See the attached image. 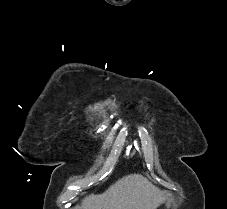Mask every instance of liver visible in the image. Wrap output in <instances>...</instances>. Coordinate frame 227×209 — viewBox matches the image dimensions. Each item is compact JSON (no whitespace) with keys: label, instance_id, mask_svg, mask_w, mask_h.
Wrapping results in <instances>:
<instances>
[{"label":"liver","instance_id":"6515ba94","mask_svg":"<svg viewBox=\"0 0 227 209\" xmlns=\"http://www.w3.org/2000/svg\"><path fill=\"white\" fill-rule=\"evenodd\" d=\"M161 195L141 175H128L102 195H89L81 209H157Z\"/></svg>","mask_w":227,"mask_h":209}]
</instances>
